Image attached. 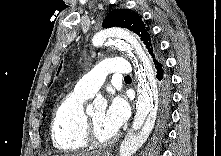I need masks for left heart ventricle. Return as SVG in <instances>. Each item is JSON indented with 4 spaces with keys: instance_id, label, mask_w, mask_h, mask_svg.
Segmentation results:
<instances>
[{
    "instance_id": "1",
    "label": "left heart ventricle",
    "mask_w": 221,
    "mask_h": 156,
    "mask_svg": "<svg viewBox=\"0 0 221 156\" xmlns=\"http://www.w3.org/2000/svg\"><path fill=\"white\" fill-rule=\"evenodd\" d=\"M105 113L104 109H98L89 115L93 121L96 134L101 139H108L115 134L105 124Z\"/></svg>"
}]
</instances>
